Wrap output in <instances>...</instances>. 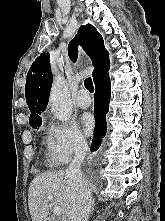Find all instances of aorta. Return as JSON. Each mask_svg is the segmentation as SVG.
Listing matches in <instances>:
<instances>
[{"instance_id": "1", "label": "aorta", "mask_w": 165, "mask_h": 221, "mask_svg": "<svg viewBox=\"0 0 165 221\" xmlns=\"http://www.w3.org/2000/svg\"><path fill=\"white\" fill-rule=\"evenodd\" d=\"M49 103L55 118L67 121L72 114L69 90L63 77L57 76L53 81L49 96Z\"/></svg>"}]
</instances>
